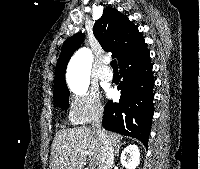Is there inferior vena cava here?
I'll use <instances>...</instances> for the list:
<instances>
[{
	"label": "inferior vena cava",
	"instance_id": "obj_1",
	"mask_svg": "<svg viewBox=\"0 0 200 169\" xmlns=\"http://www.w3.org/2000/svg\"><path fill=\"white\" fill-rule=\"evenodd\" d=\"M102 116H103V109L100 108L92 124V128L99 136L102 145V156L98 164V169H112L114 164V148L107 139L105 131L102 129L101 126Z\"/></svg>",
	"mask_w": 200,
	"mask_h": 169
}]
</instances>
